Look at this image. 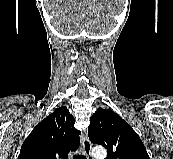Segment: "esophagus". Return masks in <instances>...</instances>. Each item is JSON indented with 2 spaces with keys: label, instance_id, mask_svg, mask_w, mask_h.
<instances>
[{
  "label": "esophagus",
  "instance_id": "1",
  "mask_svg": "<svg viewBox=\"0 0 173 159\" xmlns=\"http://www.w3.org/2000/svg\"><path fill=\"white\" fill-rule=\"evenodd\" d=\"M82 146H83V151H84V154L86 155V158L92 159V156H91L92 145L86 133L82 135Z\"/></svg>",
  "mask_w": 173,
  "mask_h": 159
}]
</instances>
